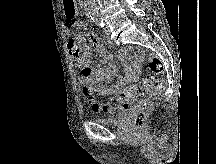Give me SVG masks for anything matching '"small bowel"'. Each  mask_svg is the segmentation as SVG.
Wrapping results in <instances>:
<instances>
[{
    "instance_id": "c3829d8e",
    "label": "small bowel",
    "mask_w": 216,
    "mask_h": 164,
    "mask_svg": "<svg viewBox=\"0 0 216 164\" xmlns=\"http://www.w3.org/2000/svg\"><path fill=\"white\" fill-rule=\"evenodd\" d=\"M76 25L81 27L83 23L78 21ZM88 40L89 44L83 34L76 33L73 40L68 43L70 57L75 67L80 69L79 82L82 86V94L94 112L114 117L118 109L127 108V104L120 103L117 96L123 86L139 77L142 51L132 47L121 50L119 57L121 59L130 57L131 61L125 66V74L118 76L117 81L112 83L117 73L113 56L97 36L89 35ZM92 48L99 57V62L95 66L92 61ZM100 95L110 96L111 100L101 103L96 98Z\"/></svg>"
}]
</instances>
